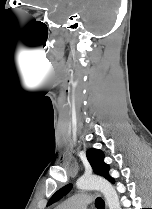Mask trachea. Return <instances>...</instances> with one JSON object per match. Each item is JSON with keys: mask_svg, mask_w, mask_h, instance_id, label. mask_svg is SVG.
<instances>
[{"mask_svg": "<svg viewBox=\"0 0 152 209\" xmlns=\"http://www.w3.org/2000/svg\"><path fill=\"white\" fill-rule=\"evenodd\" d=\"M95 205L97 208H101V207H104V200L100 197H98L95 201Z\"/></svg>", "mask_w": 152, "mask_h": 209, "instance_id": "3493384b", "label": "trachea"}]
</instances>
